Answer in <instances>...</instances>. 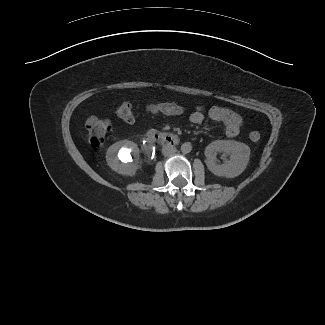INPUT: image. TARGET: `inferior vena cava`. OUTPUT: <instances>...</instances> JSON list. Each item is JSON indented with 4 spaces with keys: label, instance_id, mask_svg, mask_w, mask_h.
Masks as SVG:
<instances>
[{
    "label": "inferior vena cava",
    "instance_id": "602c4592",
    "mask_svg": "<svg viewBox=\"0 0 325 325\" xmlns=\"http://www.w3.org/2000/svg\"><path fill=\"white\" fill-rule=\"evenodd\" d=\"M176 152V148L173 145H164L162 148V153L165 156H171Z\"/></svg>",
    "mask_w": 325,
    "mask_h": 325
}]
</instances>
